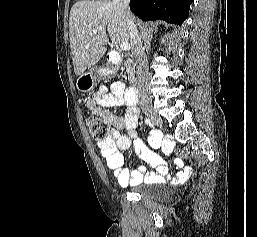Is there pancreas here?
<instances>
[{"mask_svg": "<svg viewBox=\"0 0 257 237\" xmlns=\"http://www.w3.org/2000/svg\"><path fill=\"white\" fill-rule=\"evenodd\" d=\"M125 70L126 73L128 75V80L130 81V83H133L135 81V63L132 59H127V61H125Z\"/></svg>", "mask_w": 257, "mask_h": 237, "instance_id": "cf45deb5", "label": "pancreas"}]
</instances>
